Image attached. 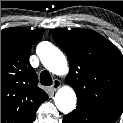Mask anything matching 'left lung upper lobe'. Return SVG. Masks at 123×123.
<instances>
[{
    "label": "left lung upper lobe",
    "mask_w": 123,
    "mask_h": 123,
    "mask_svg": "<svg viewBox=\"0 0 123 123\" xmlns=\"http://www.w3.org/2000/svg\"><path fill=\"white\" fill-rule=\"evenodd\" d=\"M65 51L70 72L65 81L77 102L119 115L123 109V56L102 35L90 29L50 30Z\"/></svg>",
    "instance_id": "left-lung-upper-lobe-1"
}]
</instances>
